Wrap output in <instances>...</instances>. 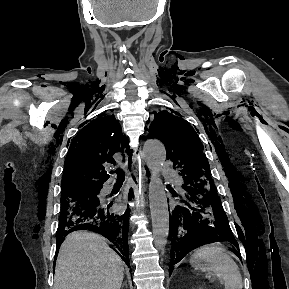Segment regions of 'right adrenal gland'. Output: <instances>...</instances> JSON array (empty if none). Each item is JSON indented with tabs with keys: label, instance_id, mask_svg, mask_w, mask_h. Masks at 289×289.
<instances>
[{
	"label": "right adrenal gland",
	"instance_id": "obj_1",
	"mask_svg": "<svg viewBox=\"0 0 289 289\" xmlns=\"http://www.w3.org/2000/svg\"><path fill=\"white\" fill-rule=\"evenodd\" d=\"M122 286H126V282H124Z\"/></svg>",
	"mask_w": 289,
	"mask_h": 289
}]
</instances>
